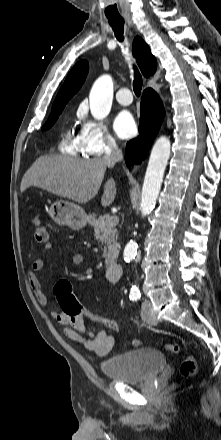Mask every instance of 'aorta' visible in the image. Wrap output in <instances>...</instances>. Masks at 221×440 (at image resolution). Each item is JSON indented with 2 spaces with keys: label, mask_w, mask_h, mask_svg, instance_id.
<instances>
[{
  "label": "aorta",
  "mask_w": 221,
  "mask_h": 440,
  "mask_svg": "<svg viewBox=\"0 0 221 440\" xmlns=\"http://www.w3.org/2000/svg\"><path fill=\"white\" fill-rule=\"evenodd\" d=\"M113 100V80L109 75L99 77L90 92V111L97 120H102L109 114ZM170 140L166 136L159 137L151 151L147 166L142 194L141 213L148 215L155 206L160 192L164 171L170 156ZM137 243L133 240L127 243L124 249V258L127 262L134 259L137 253ZM136 290V287H132Z\"/></svg>",
  "instance_id": "aorta-1"
}]
</instances>
